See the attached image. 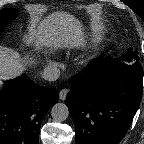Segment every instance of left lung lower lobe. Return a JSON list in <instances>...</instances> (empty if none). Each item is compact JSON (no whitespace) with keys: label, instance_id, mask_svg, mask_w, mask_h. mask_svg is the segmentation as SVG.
Instances as JSON below:
<instances>
[{"label":"left lung lower lobe","instance_id":"obj_1","mask_svg":"<svg viewBox=\"0 0 144 144\" xmlns=\"http://www.w3.org/2000/svg\"><path fill=\"white\" fill-rule=\"evenodd\" d=\"M110 59L92 60L70 80L66 103L75 124V144H118L139 107L142 67L110 65Z\"/></svg>","mask_w":144,"mask_h":144}]
</instances>
